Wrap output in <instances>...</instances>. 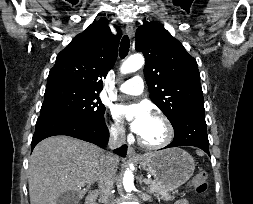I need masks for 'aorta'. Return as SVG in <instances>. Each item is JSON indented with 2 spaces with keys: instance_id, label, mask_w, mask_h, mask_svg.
<instances>
[{
  "instance_id": "aorta-1",
  "label": "aorta",
  "mask_w": 253,
  "mask_h": 204,
  "mask_svg": "<svg viewBox=\"0 0 253 204\" xmlns=\"http://www.w3.org/2000/svg\"><path fill=\"white\" fill-rule=\"evenodd\" d=\"M144 65V57L141 54H134L130 56L121 66L120 72L128 74L137 71ZM129 119V117H128ZM134 175L133 172L127 169L123 176V186L127 192H131L134 188Z\"/></svg>"
}]
</instances>
